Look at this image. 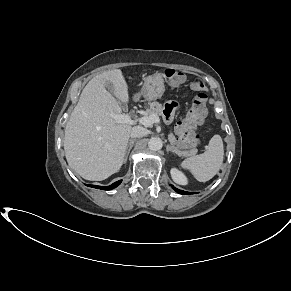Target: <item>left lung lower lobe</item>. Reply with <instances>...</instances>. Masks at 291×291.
Here are the masks:
<instances>
[{
	"label": "left lung lower lobe",
	"instance_id": "obj_1",
	"mask_svg": "<svg viewBox=\"0 0 291 291\" xmlns=\"http://www.w3.org/2000/svg\"><path fill=\"white\" fill-rule=\"evenodd\" d=\"M171 186H172V188H173L176 192H178V193H180V194H191V193H189V192L179 190V189L175 188L173 185H171Z\"/></svg>",
	"mask_w": 291,
	"mask_h": 291
}]
</instances>
